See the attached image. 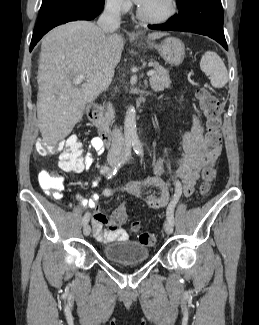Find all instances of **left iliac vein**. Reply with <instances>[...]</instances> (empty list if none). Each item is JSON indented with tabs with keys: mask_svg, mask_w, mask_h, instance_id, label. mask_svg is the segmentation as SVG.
Wrapping results in <instances>:
<instances>
[{
	"mask_svg": "<svg viewBox=\"0 0 259 325\" xmlns=\"http://www.w3.org/2000/svg\"><path fill=\"white\" fill-rule=\"evenodd\" d=\"M164 230L168 235L172 234L173 233V224L168 220L165 221Z\"/></svg>",
	"mask_w": 259,
	"mask_h": 325,
	"instance_id": "obj_1",
	"label": "left iliac vein"
}]
</instances>
